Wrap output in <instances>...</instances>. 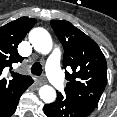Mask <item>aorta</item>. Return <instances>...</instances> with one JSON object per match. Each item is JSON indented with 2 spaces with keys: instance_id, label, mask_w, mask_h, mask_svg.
<instances>
[{
  "instance_id": "aorta-1",
  "label": "aorta",
  "mask_w": 117,
  "mask_h": 117,
  "mask_svg": "<svg viewBox=\"0 0 117 117\" xmlns=\"http://www.w3.org/2000/svg\"><path fill=\"white\" fill-rule=\"evenodd\" d=\"M29 41L34 49L42 54H47L52 49V39L47 30L41 27L34 28L29 33ZM39 96L45 103H52L56 99V91L49 85L39 89Z\"/></svg>"
}]
</instances>
